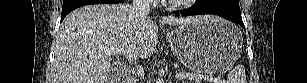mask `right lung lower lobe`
Listing matches in <instances>:
<instances>
[{"mask_svg": "<svg viewBox=\"0 0 307 83\" xmlns=\"http://www.w3.org/2000/svg\"><path fill=\"white\" fill-rule=\"evenodd\" d=\"M123 0H64L61 19H63L67 14H69L74 9L89 5V4H115L121 3Z\"/></svg>", "mask_w": 307, "mask_h": 83, "instance_id": "right-lung-lower-lobe-1", "label": "right lung lower lobe"}]
</instances>
